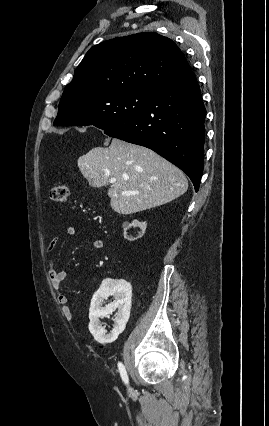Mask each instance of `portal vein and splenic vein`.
<instances>
[{
	"instance_id": "1",
	"label": "portal vein and splenic vein",
	"mask_w": 269,
	"mask_h": 426,
	"mask_svg": "<svg viewBox=\"0 0 269 426\" xmlns=\"http://www.w3.org/2000/svg\"><path fill=\"white\" fill-rule=\"evenodd\" d=\"M111 184H114L115 182H116V179H114V178H112V179H110V181H109ZM121 194L122 195H124V196H130V195H134V194H136V192H132V191H122L121 192Z\"/></svg>"
}]
</instances>
